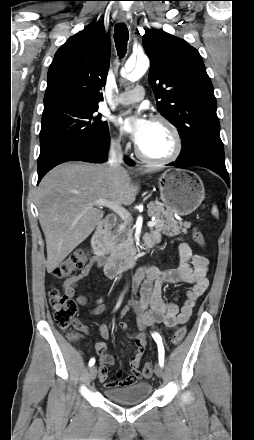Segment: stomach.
Masks as SVG:
<instances>
[{"mask_svg":"<svg viewBox=\"0 0 254 440\" xmlns=\"http://www.w3.org/2000/svg\"><path fill=\"white\" fill-rule=\"evenodd\" d=\"M160 199L166 209L175 215L194 212L205 197L200 177L185 169H168L158 179Z\"/></svg>","mask_w":254,"mask_h":440,"instance_id":"obj_1","label":"stomach"}]
</instances>
